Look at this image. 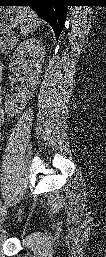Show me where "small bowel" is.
I'll use <instances>...</instances> for the list:
<instances>
[{
  "label": "small bowel",
  "instance_id": "c3829d8e",
  "mask_svg": "<svg viewBox=\"0 0 106 257\" xmlns=\"http://www.w3.org/2000/svg\"><path fill=\"white\" fill-rule=\"evenodd\" d=\"M1 113H2V110H1ZM0 121H1V123L3 122V117H2V114H1V120H0Z\"/></svg>",
  "mask_w": 106,
  "mask_h": 257
}]
</instances>
